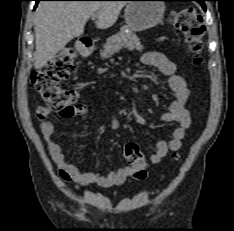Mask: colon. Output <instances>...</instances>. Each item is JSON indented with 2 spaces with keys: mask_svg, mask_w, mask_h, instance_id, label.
Segmentation results:
<instances>
[{
  "mask_svg": "<svg viewBox=\"0 0 234 231\" xmlns=\"http://www.w3.org/2000/svg\"><path fill=\"white\" fill-rule=\"evenodd\" d=\"M169 20L185 37L189 49L198 54L201 50L205 32L203 23L197 17L193 8H185L173 12ZM200 57L196 56L194 63L199 64ZM75 53L72 49H63L41 69L32 74L31 81L46 104L53 110L64 111L71 109L79 99L76 90L63 88L61 81L75 75ZM124 158L132 165V175L135 179L146 176L145 156L137 143H127L124 147Z\"/></svg>",
  "mask_w": 234,
  "mask_h": 231,
  "instance_id": "colon-1",
  "label": "colon"
}]
</instances>
